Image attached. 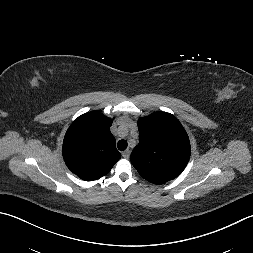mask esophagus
I'll return each instance as SVG.
<instances>
[{"mask_svg":"<svg viewBox=\"0 0 253 253\" xmlns=\"http://www.w3.org/2000/svg\"><path fill=\"white\" fill-rule=\"evenodd\" d=\"M122 156L125 159H128L130 157V150H125L124 152H122Z\"/></svg>","mask_w":253,"mask_h":253,"instance_id":"34e87169","label":"esophagus"}]
</instances>
